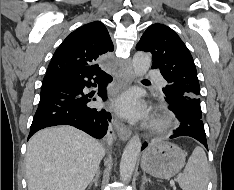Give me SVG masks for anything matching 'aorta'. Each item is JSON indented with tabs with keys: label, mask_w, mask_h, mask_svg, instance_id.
I'll list each match as a JSON object with an SVG mask.
<instances>
[{
	"label": "aorta",
	"mask_w": 234,
	"mask_h": 190,
	"mask_svg": "<svg viewBox=\"0 0 234 190\" xmlns=\"http://www.w3.org/2000/svg\"><path fill=\"white\" fill-rule=\"evenodd\" d=\"M151 66V57L148 53L138 51L133 56V69L137 76H143ZM141 150V141L138 136H133L127 143L120 161V177L128 182L133 174Z\"/></svg>",
	"instance_id": "aorta-1"
}]
</instances>
